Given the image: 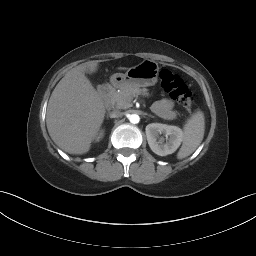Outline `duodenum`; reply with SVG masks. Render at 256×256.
Instances as JSON below:
<instances>
[{
    "label": "duodenum",
    "instance_id": "duodenum-1",
    "mask_svg": "<svg viewBox=\"0 0 256 256\" xmlns=\"http://www.w3.org/2000/svg\"><path fill=\"white\" fill-rule=\"evenodd\" d=\"M112 89H113V86L111 84H104V85L100 86L98 92L103 101L108 100Z\"/></svg>",
    "mask_w": 256,
    "mask_h": 256
}]
</instances>
